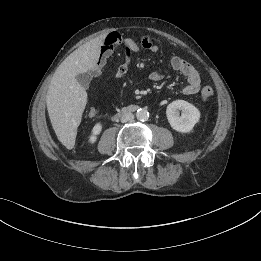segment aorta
I'll return each instance as SVG.
<instances>
[{"label": "aorta", "mask_w": 261, "mask_h": 261, "mask_svg": "<svg viewBox=\"0 0 261 261\" xmlns=\"http://www.w3.org/2000/svg\"><path fill=\"white\" fill-rule=\"evenodd\" d=\"M137 119L146 121L149 118V112L145 108H140L136 112Z\"/></svg>", "instance_id": "1"}]
</instances>
